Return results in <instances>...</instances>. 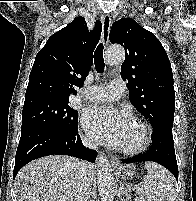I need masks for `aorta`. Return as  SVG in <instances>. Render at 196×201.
Wrapping results in <instances>:
<instances>
[{"label":"aorta","instance_id":"obj_1","mask_svg":"<svg viewBox=\"0 0 196 201\" xmlns=\"http://www.w3.org/2000/svg\"><path fill=\"white\" fill-rule=\"evenodd\" d=\"M124 59L125 52L121 46H111L105 52V61L109 65H120ZM97 183L101 201H113L115 181L111 165L104 155L97 158Z\"/></svg>","mask_w":196,"mask_h":201}]
</instances>
